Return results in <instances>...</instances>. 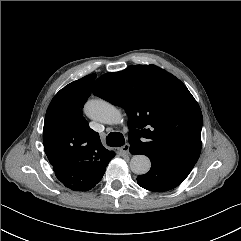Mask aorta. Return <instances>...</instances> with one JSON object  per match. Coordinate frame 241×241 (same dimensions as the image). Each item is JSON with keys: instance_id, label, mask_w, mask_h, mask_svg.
<instances>
[{"instance_id": "1", "label": "aorta", "mask_w": 241, "mask_h": 241, "mask_svg": "<svg viewBox=\"0 0 241 241\" xmlns=\"http://www.w3.org/2000/svg\"><path fill=\"white\" fill-rule=\"evenodd\" d=\"M85 114L92 120L104 124H119L122 122L120 110L102 99L89 100L84 107ZM151 167L150 159L143 154H136L130 160V169L137 175L146 174Z\"/></svg>"}]
</instances>
